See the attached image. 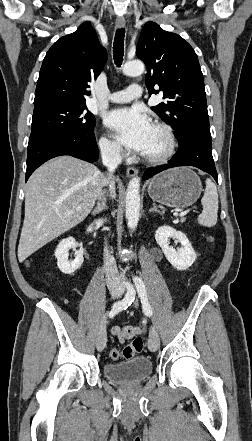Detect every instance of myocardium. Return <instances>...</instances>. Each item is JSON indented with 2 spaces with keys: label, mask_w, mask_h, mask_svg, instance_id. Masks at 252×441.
<instances>
[{
  "label": "myocardium",
  "mask_w": 252,
  "mask_h": 441,
  "mask_svg": "<svg viewBox=\"0 0 252 441\" xmlns=\"http://www.w3.org/2000/svg\"><path fill=\"white\" fill-rule=\"evenodd\" d=\"M153 126L160 130L165 136L167 148L159 155L150 156L144 154L143 158L146 162L157 165L165 163L174 155L176 149V138L173 129L168 124L164 122H155Z\"/></svg>",
  "instance_id": "myocardium-1"
}]
</instances>
